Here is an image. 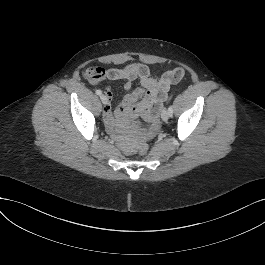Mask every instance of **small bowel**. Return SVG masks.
Here are the masks:
<instances>
[{
    "label": "small bowel",
    "instance_id": "obj_1",
    "mask_svg": "<svg viewBox=\"0 0 265 265\" xmlns=\"http://www.w3.org/2000/svg\"><path fill=\"white\" fill-rule=\"evenodd\" d=\"M121 62V60L116 61V63ZM183 76L184 70L181 67H177L155 78L151 75L148 66L139 62L104 70L102 79L111 81L124 80L126 89H130L132 82L135 80H138L141 85L140 88L128 93L114 111H112L110 106L112 92L109 88L104 89V95L108 99L103 112L107 128L115 132L122 128L126 122L138 116L153 118L160 112L170 87L179 82Z\"/></svg>",
    "mask_w": 265,
    "mask_h": 265
}]
</instances>
